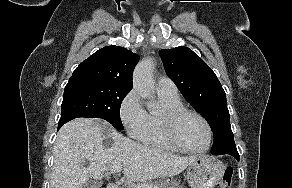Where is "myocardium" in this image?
I'll return each instance as SVG.
<instances>
[{
	"instance_id": "1",
	"label": "myocardium",
	"mask_w": 292,
	"mask_h": 188,
	"mask_svg": "<svg viewBox=\"0 0 292 188\" xmlns=\"http://www.w3.org/2000/svg\"><path fill=\"white\" fill-rule=\"evenodd\" d=\"M186 115H194L198 117L205 125V128L207 130L208 140L204 148L199 149V150L189 149L186 146H184L182 142L180 141L178 137V133H177V127L180 120ZM161 126L169 142L175 148H177L178 150L182 152L189 153V154H203L207 152L212 145L213 131H212L211 125L206 119V117L196 110L189 109L183 106L178 107V108H173V109H167L163 111L161 115Z\"/></svg>"
}]
</instances>
